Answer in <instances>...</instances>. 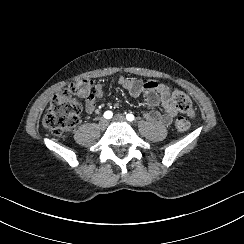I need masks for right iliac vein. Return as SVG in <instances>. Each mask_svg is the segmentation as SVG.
<instances>
[{
    "label": "right iliac vein",
    "instance_id": "1",
    "mask_svg": "<svg viewBox=\"0 0 244 244\" xmlns=\"http://www.w3.org/2000/svg\"><path fill=\"white\" fill-rule=\"evenodd\" d=\"M99 126H100L101 129H105V128L108 126V120H106V119H101V120L99 121Z\"/></svg>",
    "mask_w": 244,
    "mask_h": 244
}]
</instances>
